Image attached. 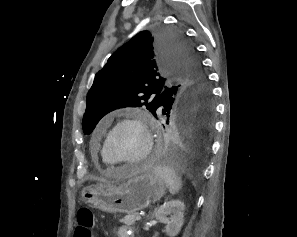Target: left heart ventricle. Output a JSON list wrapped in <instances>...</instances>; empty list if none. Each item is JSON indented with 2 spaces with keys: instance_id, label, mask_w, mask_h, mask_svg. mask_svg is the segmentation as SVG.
<instances>
[{
  "instance_id": "1",
  "label": "left heart ventricle",
  "mask_w": 297,
  "mask_h": 237,
  "mask_svg": "<svg viewBox=\"0 0 297 237\" xmlns=\"http://www.w3.org/2000/svg\"><path fill=\"white\" fill-rule=\"evenodd\" d=\"M144 146L145 140L141 130L132 124H125L118 128L109 143L110 151L120 159L139 157Z\"/></svg>"
}]
</instances>
